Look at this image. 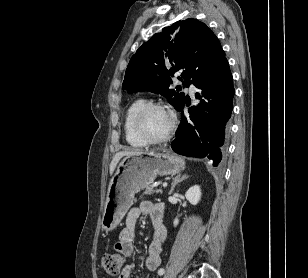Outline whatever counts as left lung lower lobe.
Wrapping results in <instances>:
<instances>
[{"label":"left lung lower lobe","instance_id":"0a47b994","mask_svg":"<svg viewBox=\"0 0 308 278\" xmlns=\"http://www.w3.org/2000/svg\"><path fill=\"white\" fill-rule=\"evenodd\" d=\"M194 85L199 89L195 96L199 104L189 109V117L181 116L171 147L180 155L211 159L217 166L227 143L235 93L227 59Z\"/></svg>","mask_w":308,"mask_h":278}]
</instances>
